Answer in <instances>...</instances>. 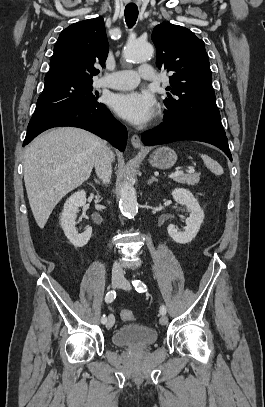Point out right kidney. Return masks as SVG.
Segmentation results:
<instances>
[{"label":"right kidney","mask_w":265,"mask_h":407,"mask_svg":"<svg viewBox=\"0 0 265 407\" xmlns=\"http://www.w3.org/2000/svg\"><path fill=\"white\" fill-rule=\"evenodd\" d=\"M86 205L85 191H78L72 194L65 202L61 214L60 224L68 240L77 248L85 246L91 238L92 227L79 234L76 230V217L79 207Z\"/></svg>","instance_id":"right-kidney-1"}]
</instances>
